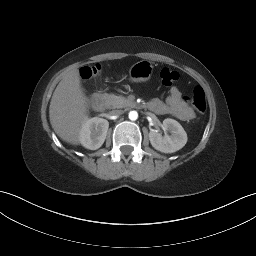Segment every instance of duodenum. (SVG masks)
<instances>
[{"mask_svg":"<svg viewBox=\"0 0 256 256\" xmlns=\"http://www.w3.org/2000/svg\"><path fill=\"white\" fill-rule=\"evenodd\" d=\"M90 104L93 109L99 111L105 108L107 100L105 96L94 93L90 96ZM137 106H142V104H138Z\"/></svg>","mask_w":256,"mask_h":256,"instance_id":"duodenum-1","label":"duodenum"}]
</instances>
